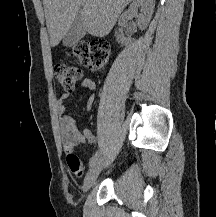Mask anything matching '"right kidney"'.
Returning a JSON list of instances; mask_svg holds the SVG:
<instances>
[{"label": "right kidney", "mask_w": 216, "mask_h": 217, "mask_svg": "<svg viewBox=\"0 0 216 217\" xmlns=\"http://www.w3.org/2000/svg\"><path fill=\"white\" fill-rule=\"evenodd\" d=\"M154 6L155 0H134L129 6L128 10L122 14L119 21V26H125L127 20L135 17L139 29H146L152 18ZM138 10L140 11L139 14ZM116 38L118 43H121L122 45L128 44L131 41L130 38H125L118 33H116Z\"/></svg>", "instance_id": "1"}]
</instances>
